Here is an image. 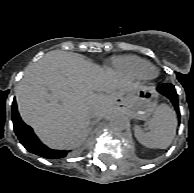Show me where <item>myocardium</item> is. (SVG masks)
<instances>
[{
    "label": "myocardium",
    "mask_w": 194,
    "mask_h": 193,
    "mask_svg": "<svg viewBox=\"0 0 194 193\" xmlns=\"http://www.w3.org/2000/svg\"><path fill=\"white\" fill-rule=\"evenodd\" d=\"M159 71L158 69L151 65L144 71V79L145 80H154L158 77Z\"/></svg>",
    "instance_id": "f54148a6"
}]
</instances>
